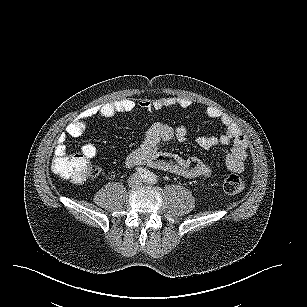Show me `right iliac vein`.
<instances>
[{"mask_svg":"<svg viewBox=\"0 0 307 307\" xmlns=\"http://www.w3.org/2000/svg\"><path fill=\"white\" fill-rule=\"evenodd\" d=\"M135 180H136V177L130 178L129 184H130V185H133V184L135 183Z\"/></svg>","mask_w":307,"mask_h":307,"instance_id":"right-iliac-vein-1","label":"right iliac vein"}]
</instances>
